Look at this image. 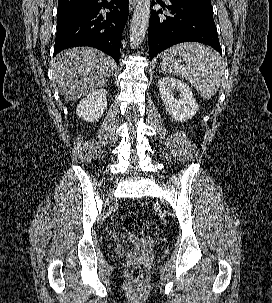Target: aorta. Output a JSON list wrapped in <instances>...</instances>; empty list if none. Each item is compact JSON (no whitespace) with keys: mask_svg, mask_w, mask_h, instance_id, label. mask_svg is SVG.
<instances>
[{"mask_svg":"<svg viewBox=\"0 0 272 303\" xmlns=\"http://www.w3.org/2000/svg\"><path fill=\"white\" fill-rule=\"evenodd\" d=\"M150 0H137L133 17L130 24V44L133 48L143 42L150 18Z\"/></svg>","mask_w":272,"mask_h":303,"instance_id":"obj_1","label":"aorta"}]
</instances>
